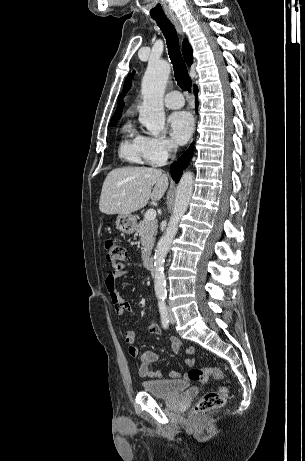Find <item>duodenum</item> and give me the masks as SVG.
<instances>
[{"label": "duodenum", "mask_w": 305, "mask_h": 461, "mask_svg": "<svg viewBox=\"0 0 305 461\" xmlns=\"http://www.w3.org/2000/svg\"><path fill=\"white\" fill-rule=\"evenodd\" d=\"M144 266L147 270H151L154 266V258L151 254H147L144 258Z\"/></svg>", "instance_id": "duodenum-1"}]
</instances>
